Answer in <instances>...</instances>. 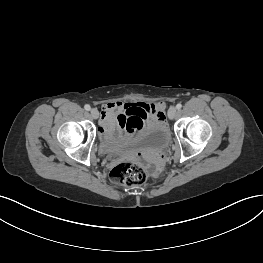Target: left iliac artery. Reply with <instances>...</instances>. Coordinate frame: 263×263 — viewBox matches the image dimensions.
I'll return each mask as SVG.
<instances>
[{"label": "left iliac artery", "mask_w": 263, "mask_h": 263, "mask_svg": "<svg viewBox=\"0 0 263 263\" xmlns=\"http://www.w3.org/2000/svg\"><path fill=\"white\" fill-rule=\"evenodd\" d=\"M176 108L179 110V109H181L182 108V104L181 103H178L177 105H176Z\"/></svg>", "instance_id": "44dca946"}]
</instances>
